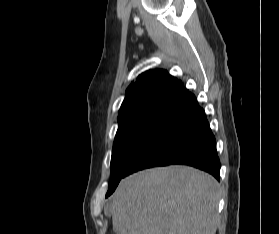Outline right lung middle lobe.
Instances as JSON below:
<instances>
[{
    "instance_id": "obj_1",
    "label": "right lung middle lobe",
    "mask_w": 279,
    "mask_h": 234,
    "mask_svg": "<svg viewBox=\"0 0 279 234\" xmlns=\"http://www.w3.org/2000/svg\"><path fill=\"white\" fill-rule=\"evenodd\" d=\"M171 107H151L118 116L119 127L113 144L111 176L106 197L111 195L125 177L132 157L170 111Z\"/></svg>"
}]
</instances>
